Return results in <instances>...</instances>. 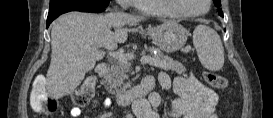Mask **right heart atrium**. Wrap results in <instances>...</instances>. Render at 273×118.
Masks as SVG:
<instances>
[{
    "mask_svg": "<svg viewBox=\"0 0 273 118\" xmlns=\"http://www.w3.org/2000/svg\"><path fill=\"white\" fill-rule=\"evenodd\" d=\"M118 3L120 4V6L123 9H127V8L133 7L134 3H136V1H134V0H119Z\"/></svg>",
    "mask_w": 273,
    "mask_h": 118,
    "instance_id": "right-heart-atrium-1",
    "label": "right heart atrium"
}]
</instances>
